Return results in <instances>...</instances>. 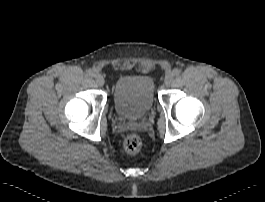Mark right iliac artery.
Wrapping results in <instances>:
<instances>
[{
	"instance_id": "obj_1",
	"label": "right iliac artery",
	"mask_w": 265,
	"mask_h": 202,
	"mask_svg": "<svg viewBox=\"0 0 265 202\" xmlns=\"http://www.w3.org/2000/svg\"><path fill=\"white\" fill-rule=\"evenodd\" d=\"M86 73H87V76L89 77H93L95 75V72L92 69H88Z\"/></svg>"
}]
</instances>
